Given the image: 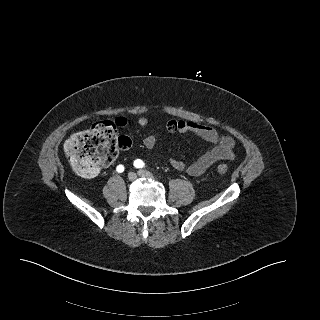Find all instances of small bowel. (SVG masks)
<instances>
[{"label": "small bowel", "instance_id": "1", "mask_svg": "<svg viewBox=\"0 0 320 320\" xmlns=\"http://www.w3.org/2000/svg\"><path fill=\"white\" fill-rule=\"evenodd\" d=\"M138 125L144 127L148 120L146 117L138 119ZM118 126H125L126 120L118 118ZM166 129L170 133H190L194 134L208 143L207 150L190 164L182 160L170 159L171 166L178 171H186L191 176L202 175L211 165L219 160H232L235 157L234 140L227 134H220L216 129L194 121L171 119L166 124ZM158 139V134L147 135L143 139V145L147 149H152Z\"/></svg>", "mask_w": 320, "mask_h": 320}]
</instances>
